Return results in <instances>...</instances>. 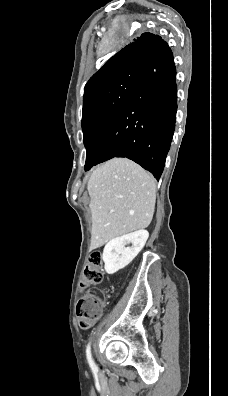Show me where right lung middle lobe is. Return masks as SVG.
<instances>
[{
	"mask_svg": "<svg viewBox=\"0 0 228 396\" xmlns=\"http://www.w3.org/2000/svg\"><path fill=\"white\" fill-rule=\"evenodd\" d=\"M141 74L142 70H134L109 79L84 97L82 130L87 152L85 170L94 166L116 116Z\"/></svg>",
	"mask_w": 228,
	"mask_h": 396,
	"instance_id": "1",
	"label": "right lung middle lobe"
}]
</instances>
